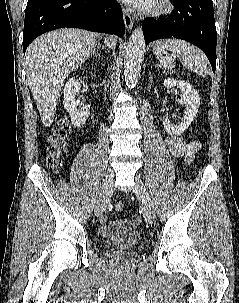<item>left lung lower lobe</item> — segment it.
<instances>
[{
	"label": "left lung lower lobe",
	"instance_id": "1",
	"mask_svg": "<svg viewBox=\"0 0 239 303\" xmlns=\"http://www.w3.org/2000/svg\"><path fill=\"white\" fill-rule=\"evenodd\" d=\"M173 4L168 17L143 22L146 44L171 37L189 41L204 51L215 72L217 33L212 0H173Z\"/></svg>",
	"mask_w": 239,
	"mask_h": 303
}]
</instances>
